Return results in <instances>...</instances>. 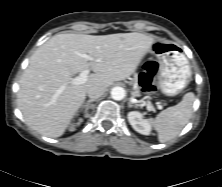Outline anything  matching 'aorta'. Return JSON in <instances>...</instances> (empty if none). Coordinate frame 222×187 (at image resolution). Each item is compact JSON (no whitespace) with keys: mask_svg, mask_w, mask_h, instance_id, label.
I'll return each mask as SVG.
<instances>
[{"mask_svg":"<svg viewBox=\"0 0 222 187\" xmlns=\"http://www.w3.org/2000/svg\"><path fill=\"white\" fill-rule=\"evenodd\" d=\"M125 95H126L125 89L120 86L113 87L111 90V97L114 100L120 101L125 97Z\"/></svg>","mask_w":222,"mask_h":187,"instance_id":"762f6f07","label":"aorta"}]
</instances>
